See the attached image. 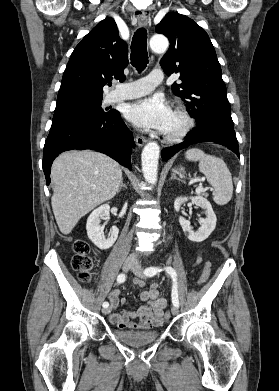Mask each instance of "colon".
Returning a JSON list of instances; mask_svg holds the SVG:
<instances>
[{"mask_svg":"<svg viewBox=\"0 0 279 391\" xmlns=\"http://www.w3.org/2000/svg\"><path fill=\"white\" fill-rule=\"evenodd\" d=\"M74 256L72 258V267L77 272V276L82 282H89L92 279V271L94 268V258L92 257V247L85 240H77L73 246ZM211 272V263L206 262L203 273L199 279V284L205 283ZM165 319L170 318V312L167 311L164 315Z\"/></svg>","mask_w":279,"mask_h":391,"instance_id":"colon-1","label":"colon"}]
</instances>
